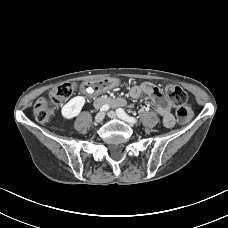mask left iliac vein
<instances>
[{"label":"left iliac vein","mask_w":228,"mask_h":228,"mask_svg":"<svg viewBox=\"0 0 228 228\" xmlns=\"http://www.w3.org/2000/svg\"><path fill=\"white\" fill-rule=\"evenodd\" d=\"M108 116H109L110 118H112V119H116V118H117L116 113L113 112V111H109V112H108Z\"/></svg>","instance_id":"left-iliac-vein-1"}]
</instances>
